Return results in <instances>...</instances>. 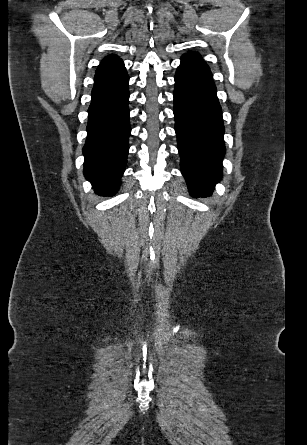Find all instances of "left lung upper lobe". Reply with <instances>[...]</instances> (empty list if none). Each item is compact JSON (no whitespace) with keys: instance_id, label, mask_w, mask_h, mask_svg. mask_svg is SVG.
I'll return each mask as SVG.
<instances>
[{"instance_id":"obj_1","label":"left lung upper lobe","mask_w":307,"mask_h":445,"mask_svg":"<svg viewBox=\"0 0 307 445\" xmlns=\"http://www.w3.org/2000/svg\"><path fill=\"white\" fill-rule=\"evenodd\" d=\"M183 56H185V57L198 58V59L202 60V58L200 57V55H198L197 53H194V52H192V53H188V54H184Z\"/></svg>"}]
</instances>
